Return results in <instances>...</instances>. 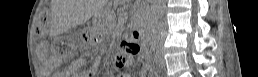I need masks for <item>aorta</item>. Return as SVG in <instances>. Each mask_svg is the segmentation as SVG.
Wrapping results in <instances>:
<instances>
[{"instance_id":"1","label":"aorta","mask_w":258,"mask_h":77,"mask_svg":"<svg viewBox=\"0 0 258 77\" xmlns=\"http://www.w3.org/2000/svg\"><path fill=\"white\" fill-rule=\"evenodd\" d=\"M165 0H153L149 17L155 22L163 13Z\"/></svg>"}]
</instances>
